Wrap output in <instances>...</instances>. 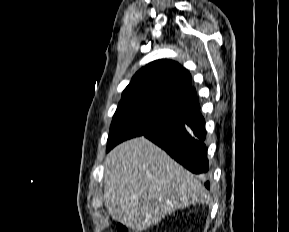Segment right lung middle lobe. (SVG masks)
Instances as JSON below:
<instances>
[{
    "label": "right lung middle lobe",
    "mask_w": 289,
    "mask_h": 232,
    "mask_svg": "<svg viewBox=\"0 0 289 232\" xmlns=\"http://www.w3.org/2000/svg\"><path fill=\"white\" fill-rule=\"evenodd\" d=\"M182 111L144 100L121 99L113 116L107 152L118 143L178 119Z\"/></svg>",
    "instance_id": "1"
}]
</instances>
